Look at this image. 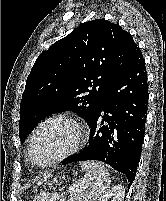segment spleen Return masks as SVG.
<instances>
[{
    "instance_id": "obj_1",
    "label": "spleen",
    "mask_w": 166,
    "mask_h": 201,
    "mask_svg": "<svg viewBox=\"0 0 166 201\" xmlns=\"http://www.w3.org/2000/svg\"><path fill=\"white\" fill-rule=\"evenodd\" d=\"M80 166L86 172L85 176L69 186L70 199L68 201H99L98 198L111 182L108 170L102 164L93 161L81 162ZM60 197L56 192L52 195L43 193L40 201H53Z\"/></svg>"
}]
</instances>
